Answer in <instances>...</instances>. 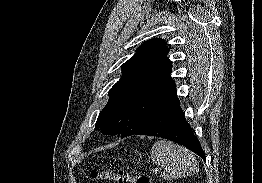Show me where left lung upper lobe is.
Returning a JSON list of instances; mask_svg holds the SVG:
<instances>
[{
  "label": "left lung upper lobe",
  "mask_w": 262,
  "mask_h": 183,
  "mask_svg": "<svg viewBox=\"0 0 262 183\" xmlns=\"http://www.w3.org/2000/svg\"><path fill=\"white\" fill-rule=\"evenodd\" d=\"M167 53L165 41L157 38L137 49L122 65V77L109 90V100L98 116L95 129L121 138L132 135L176 93Z\"/></svg>",
  "instance_id": "1"
}]
</instances>
